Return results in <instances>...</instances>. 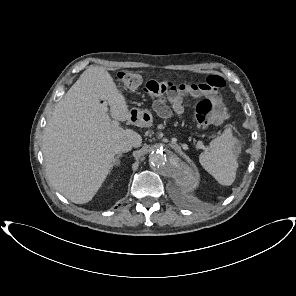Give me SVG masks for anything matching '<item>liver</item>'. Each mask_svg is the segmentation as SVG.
I'll list each match as a JSON object with an SVG mask.
<instances>
[{"mask_svg": "<svg viewBox=\"0 0 296 296\" xmlns=\"http://www.w3.org/2000/svg\"><path fill=\"white\" fill-rule=\"evenodd\" d=\"M131 114L124 95L101 66H90L56 105L46 125L42 151L53 187L76 204L89 202L105 181L115 158V144L130 140L139 147L141 136L113 124Z\"/></svg>", "mask_w": 296, "mask_h": 296, "instance_id": "obj_1", "label": "liver"}]
</instances>
